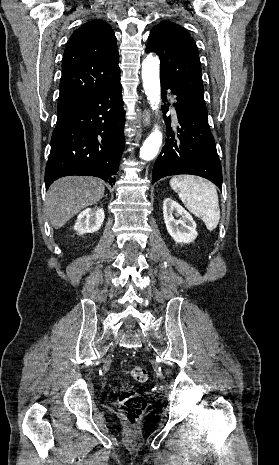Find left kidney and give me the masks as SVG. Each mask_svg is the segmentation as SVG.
Returning a JSON list of instances; mask_svg holds the SVG:
<instances>
[{"label":"left kidney","mask_w":279,"mask_h":465,"mask_svg":"<svg viewBox=\"0 0 279 465\" xmlns=\"http://www.w3.org/2000/svg\"><path fill=\"white\" fill-rule=\"evenodd\" d=\"M179 217L175 219L174 215ZM163 217L166 229L176 243H191L197 237L196 223L192 216L176 201H163Z\"/></svg>","instance_id":"left-kidney-1"}]
</instances>
